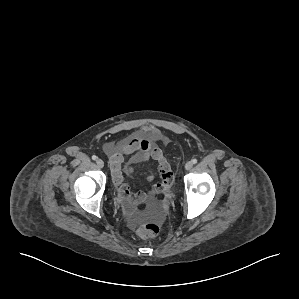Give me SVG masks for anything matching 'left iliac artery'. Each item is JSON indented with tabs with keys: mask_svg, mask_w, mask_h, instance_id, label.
Here are the masks:
<instances>
[{
	"mask_svg": "<svg viewBox=\"0 0 299 299\" xmlns=\"http://www.w3.org/2000/svg\"><path fill=\"white\" fill-rule=\"evenodd\" d=\"M192 162H193V164H196L197 163V159H193Z\"/></svg>",
	"mask_w": 299,
	"mask_h": 299,
	"instance_id": "obj_1",
	"label": "left iliac artery"
}]
</instances>
